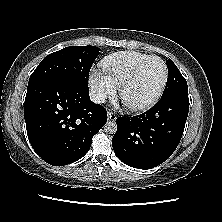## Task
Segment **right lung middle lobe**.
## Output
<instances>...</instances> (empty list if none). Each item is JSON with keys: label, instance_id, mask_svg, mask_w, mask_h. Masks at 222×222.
<instances>
[{"label": "right lung middle lobe", "instance_id": "obj_1", "mask_svg": "<svg viewBox=\"0 0 222 222\" xmlns=\"http://www.w3.org/2000/svg\"><path fill=\"white\" fill-rule=\"evenodd\" d=\"M100 48L69 46L47 55L31 74L28 87L45 80H64L88 86L91 66Z\"/></svg>", "mask_w": 222, "mask_h": 222}]
</instances>
